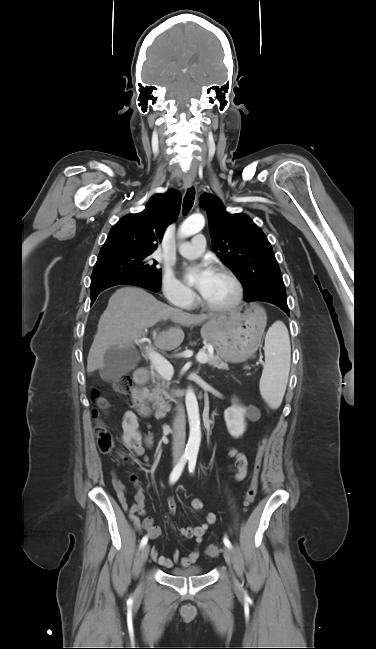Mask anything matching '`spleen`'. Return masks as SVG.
Segmentation results:
<instances>
[{"mask_svg":"<svg viewBox=\"0 0 376 649\" xmlns=\"http://www.w3.org/2000/svg\"><path fill=\"white\" fill-rule=\"evenodd\" d=\"M264 351L260 393L271 408L277 409L282 402L290 370V339L282 322H276L269 328Z\"/></svg>","mask_w":376,"mask_h":649,"instance_id":"1","label":"spleen"}]
</instances>
